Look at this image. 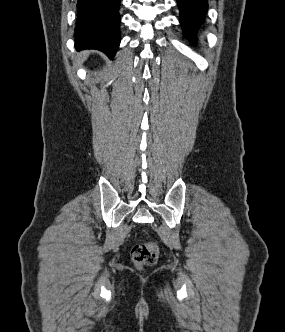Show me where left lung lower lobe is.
<instances>
[{"label":"left lung lower lobe","instance_id":"1","mask_svg":"<svg viewBox=\"0 0 285 332\" xmlns=\"http://www.w3.org/2000/svg\"><path fill=\"white\" fill-rule=\"evenodd\" d=\"M180 9V23L186 37L193 36L204 21L207 0H177Z\"/></svg>","mask_w":285,"mask_h":332}]
</instances>
